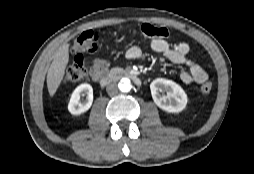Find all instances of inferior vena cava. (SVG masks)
Masks as SVG:
<instances>
[{
	"label": "inferior vena cava",
	"instance_id": "obj_1",
	"mask_svg": "<svg viewBox=\"0 0 254 174\" xmlns=\"http://www.w3.org/2000/svg\"><path fill=\"white\" fill-rule=\"evenodd\" d=\"M106 91L109 95H115L118 93V87L117 84L112 82L110 84L107 85L106 87Z\"/></svg>",
	"mask_w": 254,
	"mask_h": 174
}]
</instances>
